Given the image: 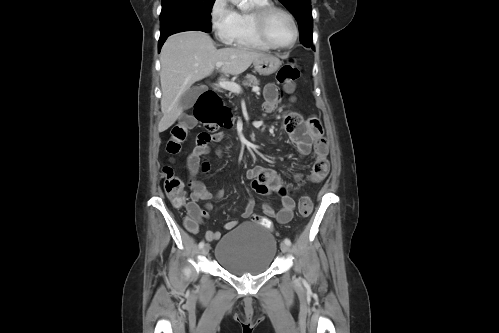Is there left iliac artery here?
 Here are the masks:
<instances>
[{
    "instance_id": "44dca946",
    "label": "left iliac artery",
    "mask_w": 499,
    "mask_h": 333,
    "mask_svg": "<svg viewBox=\"0 0 499 333\" xmlns=\"http://www.w3.org/2000/svg\"><path fill=\"white\" fill-rule=\"evenodd\" d=\"M284 242H285L287 245H289V246L291 245V241H290V239H288V238H285V239H284Z\"/></svg>"
}]
</instances>
